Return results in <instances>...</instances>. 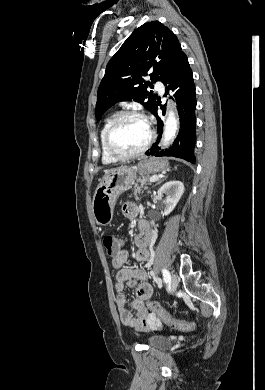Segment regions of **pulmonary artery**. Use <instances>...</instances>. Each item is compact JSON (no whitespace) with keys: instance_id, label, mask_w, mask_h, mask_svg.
<instances>
[{"instance_id":"1","label":"pulmonary artery","mask_w":265,"mask_h":390,"mask_svg":"<svg viewBox=\"0 0 265 390\" xmlns=\"http://www.w3.org/2000/svg\"><path fill=\"white\" fill-rule=\"evenodd\" d=\"M155 88H156V90H158L160 93H163V91H164V85H163V83L160 82V81H157V82L155 83Z\"/></svg>"}]
</instances>
